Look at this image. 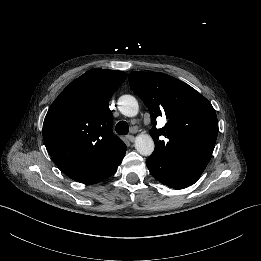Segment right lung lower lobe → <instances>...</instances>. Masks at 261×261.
I'll return each mask as SVG.
<instances>
[{
	"instance_id": "1",
	"label": "right lung lower lobe",
	"mask_w": 261,
	"mask_h": 261,
	"mask_svg": "<svg viewBox=\"0 0 261 261\" xmlns=\"http://www.w3.org/2000/svg\"><path fill=\"white\" fill-rule=\"evenodd\" d=\"M122 161V160H121ZM120 162H118L115 166H113L110 170H108L107 172L97 176L95 179H93L92 181L85 183V184H94V183H98L108 177H110L117 169V167L120 165Z\"/></svg>"
}]
</instances>
